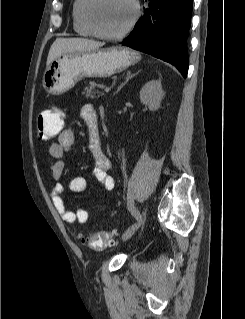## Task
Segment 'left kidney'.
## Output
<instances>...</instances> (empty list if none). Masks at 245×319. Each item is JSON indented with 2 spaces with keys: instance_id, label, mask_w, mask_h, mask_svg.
<instances>
[{
  "instance_id": "1",
  "label": "left kidney",
  "mask_w": 245,
  "mask_h": 319,
  "mask_svg": "<svg viewBox=\"0 0 245 319\" xmlns=\"http://www.w3.org/2000/svg\"><path fill=\"white\" fill-rule=\"evenodd\" d=\"M163 95L162 85L158 80L147 82L140 90L141 102L147 105L151 111L159 109Z\"/></svg>"
}]
</instances>
